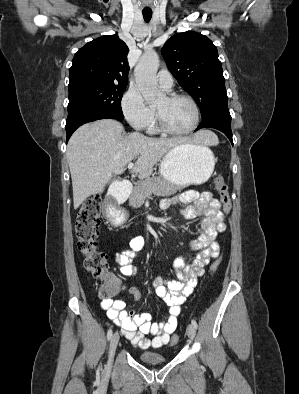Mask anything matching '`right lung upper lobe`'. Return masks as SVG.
<instances>
[{"instance_id": "obj_1", "label": "right lung upper lobe", "mask_w": 299, "mask_h": 394, "mask_svg": "<svg viewBox=\"0 0 299 394\" xmlns=\"http://www.w3.org/2000/svg\"><path fill=\"white\" fill-rule=\"evenodd\" d=\"M127 45L117 35L102 36L84 45L69 70V87L87 83L127 85Z\"/></svg>"}]
</instances>
